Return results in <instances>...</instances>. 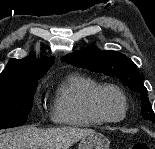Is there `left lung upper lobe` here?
<instances>
[{
    "label": "left lung upper lobe",
    "instance_id": "obj_1",
    "mask_svg": "<svg viewBox=\"0 0 155 149\" xmlns=\"http://www.w3.org/2000/svg\"><path fill=\"white\" fill-rule=\"evenodd\" d=\"M62 60L93 72L117 77L123 84L140 95L141 116L155 123V114L148 99L147 89L142 82L139 69L130 58L116 51L86 48L83 51L68 54Z\"/></svg>",
    "mask_w": 155,
    "mask_h": 149
}]
</instances>
